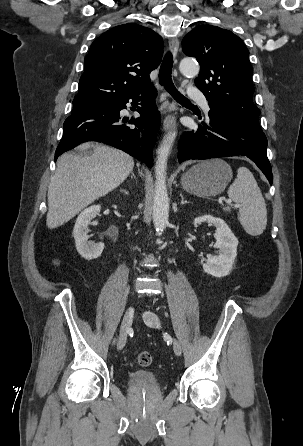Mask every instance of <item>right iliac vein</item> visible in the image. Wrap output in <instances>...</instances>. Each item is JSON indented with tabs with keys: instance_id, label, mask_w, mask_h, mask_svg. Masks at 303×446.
Masks as SVG:
<instances>
[{
	"instance_id": "63e3f726",
	"label": "right iliac vein",
	"mask_w": 303,
	"mask_h": 446,
	"mask_svg": "<svg viewBox=\"0 0 303 446\" xmlns=\"http://www.w3.org/2000/svg\"><path fill=\"white\" fill-rule=\"evenodd\" d=\"M133 317H134V308L133 307L127 308L121 323L120 335L117 343L118 350L123 349L126 344L128 330L131 327Z\"/></svg>"
}]
</instances>
